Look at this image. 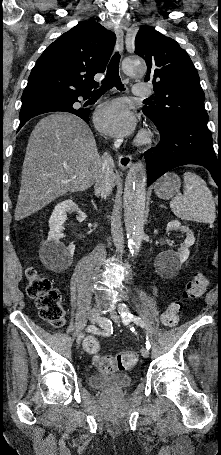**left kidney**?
I'll return each mask as SVG.
<instances>
[{
  "label": "left kidney",
  "mask_w": 221,
  "mask_h": 455,
  "mask_svg": "<svg viewBox=\"0 0 221 455\" xmlns=\"http://www.w3.org/2000/svg\"><path fill=\"white\" fill-rule=\"evenodd\" d=\"M167 232L172 230H181L186 233V239L181 244L177 252L163 251L156 257L157 265L165 271H177L189 257V248L194 244L195 237L188 227L182 226L177 220H172L167 224Z\"/></svg>",
  "instance_id": "1"
}]
</instances>
